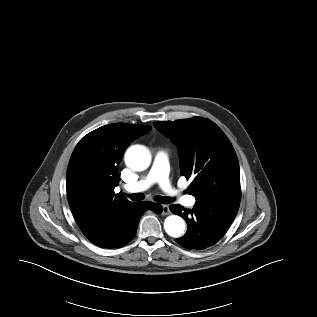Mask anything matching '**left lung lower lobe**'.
Returning <instances> with one entry per match:
<instances>
[{"label":"left lung lower lobe","instance_id":"obj_1","mask_svg":"<svg viewBox=\"0 0 317 317\" xmlns=\"http://www.w3.org/2000/svg\"><path fill=\"white\" fill-rule=\"evenodd\" d=\"M239 204L223 201L196 200L192 209L171 205L170 210L187 222L186 234L176 241L185 248L202 250L219 241L233 222Z\"/></svg>","mask_w":317,"mask_h":317}]
</instances>
